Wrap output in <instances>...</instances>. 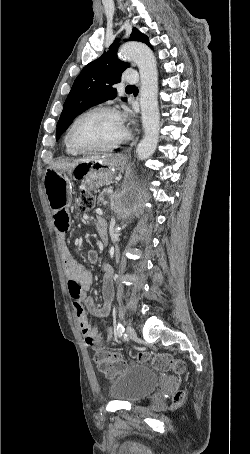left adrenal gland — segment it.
Returning <instances> with one entry per match:
<instances>
[{
	"instance_id": "obj_1",
	"label": "left adrenal gland",
	"mask_w": 250,
	"mask_h": 454,
	"mask_svg": "<svg viewBox=\"0 0 250 454\" xmlns=\"http://www.w3.org/2000/svg\"><path fill=\"white\" fill-rule=\"evenodd\" d=\"M115 196H116V193L113 195V197H115Z\"/></svg>"
}]
</instances>
